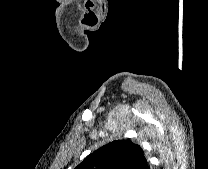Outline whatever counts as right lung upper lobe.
<instances>
[{
    "mask_svg": "<svg viewBox=\"0 0 208 169\" xmlns=\"http://www.w3.org/2000/svg\"><path fill=\"white\" fill-rule=\"evenodd\" d=\"M75 169H150L141 147L115 140L89 154Z\"/></svg>",
    "mask_w": 208,
    "mask_h": 169,
    "instance_id": "right-lung-upper-lobe-1",
    "label": "right lung upper lobe"
}]
</instances>
